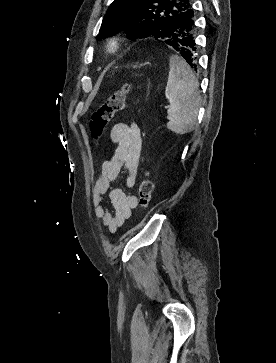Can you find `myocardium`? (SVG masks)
I'll use <instances>...</instances> for the list:
<instances>
[{"label":"myocardium","instance_id":"obj_1","mask_svg":"<svg viewBox=\"0 0 276 363\" xmlns=\"http://www.w3.org/2000/svg\"><path fill=\"white\" fill-rule=\"evenodd\" d=\"M123 44V39L120 37H112L107 42V50L110 54L117 53Z\"/></svg>","mask_w":276,"mask_h":363}]
</instances>
